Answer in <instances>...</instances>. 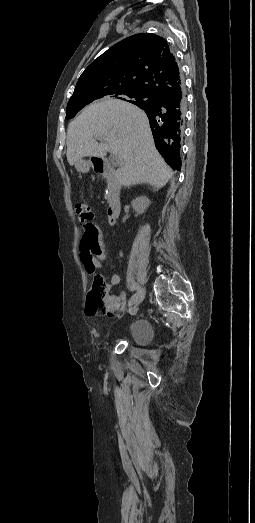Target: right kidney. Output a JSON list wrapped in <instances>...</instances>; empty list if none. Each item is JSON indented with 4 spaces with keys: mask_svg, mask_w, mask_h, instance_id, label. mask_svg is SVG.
I'll use <instances>...</instances> for the list:
<instances>
[{
    "mask_svg": "<svg viewBox=\"0 0 255 523\" xmlns=\"http://www.w3.org/2000/svg\"><path fill=\"white\" fill-rule=\"evenodd\" d=\"M131 206L136 210L137 214H144L146 208L150 206V200L146 196H139V198L132 200Z\"/></svg>",
    "mask_w": 255,
    "mask_h": 523,
    "instance_id": "ca27d5eb",
    "label": "right kidney"
}]
</instances>
